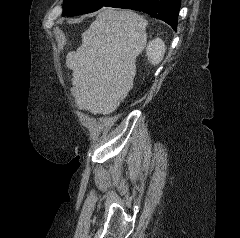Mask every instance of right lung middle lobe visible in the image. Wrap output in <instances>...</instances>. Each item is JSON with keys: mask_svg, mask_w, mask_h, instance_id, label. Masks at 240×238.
I'll use <instances>...</instances> for the list:
<instances>
[{"mask_svg": "<svg viewBox=\"0 0 240 238\" xmlns=\"http://www.w3.org/2000/svg\"><path fill=\"white\" fill-rule=\"evenodd\" d=\"M113 0H64L62 16H76L97 11Z\"/></svg>", "mask_w": 240, "mask_h": 238, "instance_id": "right-lung-middle-lobe-1", "label": "right lung middle lobe"}]
</instances>
